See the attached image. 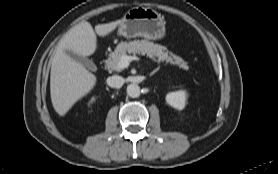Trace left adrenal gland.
Masks as SVG:
<instances>
[{"label": "left adrenal gland", "instance_id": "a2214340", "mask_svg": "<svg viewBox=\"0 0 278 174\" xmlns=\"http://www.w3.org/2000/svg\"><path fill=\"white\" fill-rule=\"evenodd\" d=\"M159 67L158 68H156L155 70H153L151 73H150V76H152V75H154L156 72H158L159 71Z\"/></svg>", "mask_w": 278, "mask_h": 174}]
</instances>
